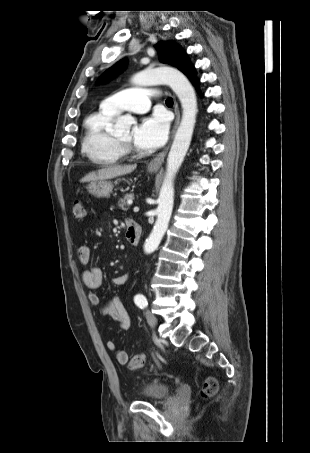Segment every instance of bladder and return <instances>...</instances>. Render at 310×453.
<instances>
[{
	"label": "bladder",
	"mask_w": 310,
	"mask_h": 453,
	"mask_svg": "<svg viewBox=\"0 0 310 453\" xmlns=\"http://www.w3.org/2000/svg\"><path fill=\"white\" fill-rule=\"evenodd\" d=\"M139 395L147 401H159L170 395V387L160 381L152 380L141 386Z\"/></svg>",
	"instance_id": "31cf9c89"
}]
</instances>
